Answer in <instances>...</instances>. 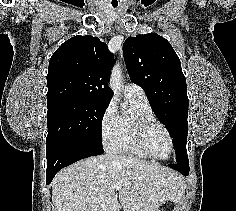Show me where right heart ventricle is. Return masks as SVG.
Wrapping results in <instances>:
<instances>
[{
    "instance_id": "obj_1",
    "label": "right heart ventricle",
    "mask_w": 236,
    "mask_h": 211,
    "mask_svg": "<svg viewBox=\"0 0 236 211\" xmlns=\"http://www.w3.org/2000/svg\"><path fill=\"white\" fill-rule=\"evenodd\" d=\"M131 106V112L128 115L119 116V127L116 138L110 146V149L116 153H128L142 156L132 145L130 140V122L136 117H143L156 120L155 114L148 101H140L136 99H128Z\"/></svg>"
}]
</instances>
